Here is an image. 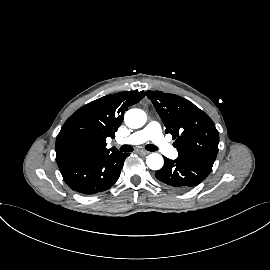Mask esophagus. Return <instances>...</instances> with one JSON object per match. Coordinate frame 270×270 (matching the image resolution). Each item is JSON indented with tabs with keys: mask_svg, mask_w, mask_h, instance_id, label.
<instances>
[{
	"mask_svg": "<svg viewBox=\"0 0 270 270\" xmlns=\"http://www.w3.org/2000/svg\"><path fill=\"white\" fill-rule=\"evenodd\" d=\"M138 153H139L140 155H148V154H149L148 151L143 150V149L138 150Z\"/></svg>",
	"mask_w": 270,
	"mask_h": 270,
	"instance_id": "esophagus-1",
	"label": "esophagus"
}]
</instances>
